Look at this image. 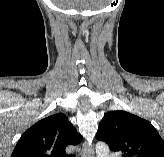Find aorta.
Returning a JSON list of instances; mask_svg holds the SVG:
<instances>
[{"label":"aorta","instance_id":"aorta-1","mask_svg":"<svg viewBox=\"0 0 164 157\" xmlns=\"http://www.w3.org/2000/svg\"><path fill=\"white\" fill-rule=\"evenodd\" d=\"M109 147L105 142H98L96 144V156L97 157H108Z\"/></svg>","mask_w":164,"mask_h":157}]
</instances>
